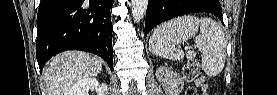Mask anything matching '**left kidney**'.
<instances>
[{
    "instance_id": "obj_1",
    "label": "left kidney",
    "mask_w": 277,
    "mask_h": 95,
    "mask_svg": "<svg viewBox=\"0 0 277 95\" xmlns=\"http://www.w3.org/2000/svg\"><path fill=\"white\" fill-rule=\"evenodd\" d=\"M156 77L162 84L163 88L173 92H176V86L178 84H182V79L177 78L178 76L176 73L164 67L157 69Z\"/></svg>"
}]
</instances>
